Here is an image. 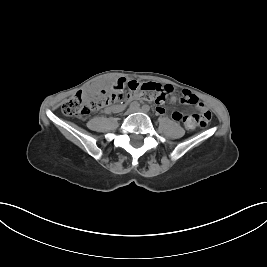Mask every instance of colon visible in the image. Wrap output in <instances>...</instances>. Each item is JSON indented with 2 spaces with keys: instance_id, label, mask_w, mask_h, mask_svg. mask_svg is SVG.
I'll return each mask as SVG.
<instances>
[{
  "instance_id": "colon-1",
  "label": "colon",
  "mask_w": 267,
  "mask_h": 267,
  "mask_svg": "<svg viewBox=\"0 0 267 267\" xmlns=\"http://www.w3.org/2000/svg\"><path fill=\"white\" fill-rule=\"evenodd\" d=\"M172 93V88L167 84L156 82H118L111 90H102L92 99L79 92L62 104V112L67 116L85 118L90 113L98 111L103 107L116 102L130 99L131 97H141L145 101L162 104ZM182 103L195 105L197 113L189 116V121L199 127H206L211 121V113L208 109L200 106L198 98L189 93L183 92L180 98ZM176 118H179L176 117Z\"/></svg>"
}]
</instances>
